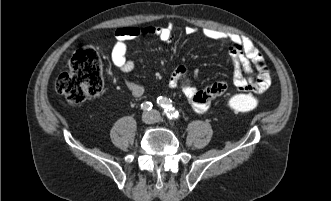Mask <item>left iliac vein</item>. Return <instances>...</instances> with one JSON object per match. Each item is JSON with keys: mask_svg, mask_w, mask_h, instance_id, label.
<instances>
[{"mask_svg": "<svg viewBox=\"0 0 331 201\" xmlns=\"http://www.w3.org/2000/svg\"><path fill=\"white\" fill-rule=\"evenodd\" d=\"M151 114L153 116L154 122H159L161 120V116H160L159 112L154 110L151 112Z\"/></svg>", "mask_w": 331, "mask_h": 201, "instance_id": "4c4485c4", "label": "left iliac vein"}]
</instances>
